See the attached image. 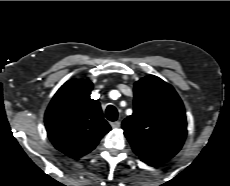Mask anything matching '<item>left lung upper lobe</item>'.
Wrapping results in <instances>:
<instances>
[{
  "instance_id": "1",
  "label": "left lung upper lobe",
  "mask_w": 230,
  "mask_h": 186,
  "mask_svg": "<svg viewBox=\"0 0 230 186\" xmlns=\"http://www.w3.org/2000/svg\"><path fill=\"white\" fill-rule=\"evenodd\" d=\"M133 151L150 165L172 158L187 134L183 103L171 85L149 75L134 85V110L122 123Z\"/></svg>"
}]
</instances>
